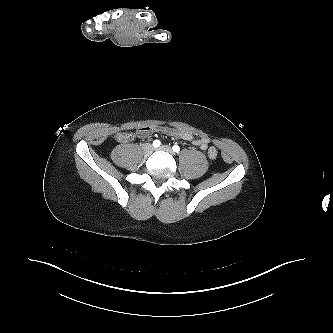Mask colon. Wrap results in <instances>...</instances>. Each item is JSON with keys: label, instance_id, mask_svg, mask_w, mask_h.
<instances>
[{"label": "colon", "instance_id": "5ec220e1", "mask_svg": "<svg viewBox=\"0 0 333 333\" xmlns=\"http://www.w3.org/2000/svg\"><path fill=\"white\" fill-rule=\"evenodd\" d=\"M133 135L129 132H120L116 135V139L119 142H128L132 140ZM218 151L214 147H210L207 151V156L209 159L214 160L217 158Z\"/></svg>", "mask_w": 333, "mask_h": 333}]
</instances>
